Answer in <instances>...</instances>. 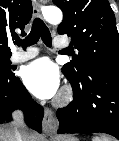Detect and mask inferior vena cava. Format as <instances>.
<instances>
[{"instance_id": "inferior-vena-cava-1", "label": "inferior vena cava", "mask_w": 119, "mask_h": 141, "mask_svg": "<svg viewBox=\"0 0 119 141\" xmlns=\"http://www.w3.org/2000/svg\"><path fill=\"white\" fill-rule=\"evenodd\" d=\"M13 127L15 130V139L14 141H27L26 139V126L23 122V114L21 111L17 110L13 114Z\"/></svg>"}]
</instances>
